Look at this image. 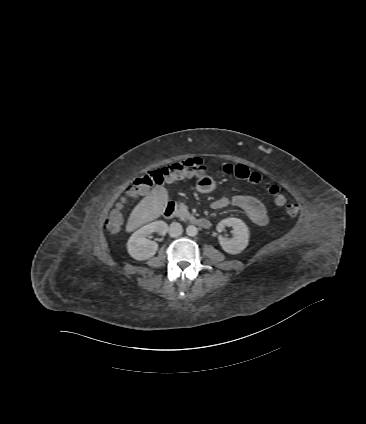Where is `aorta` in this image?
<instances>
[{"instance_id": "obj_1", "label": "aorta", "mask_w": 366, "mask_h": 424, "mask_svg": "<svg viewBox=\"0 0 366 424\" xmlns=\"http://www.w3.org/2000/svg\"><path fill=\"white\" fill-rule=\"evenodd\" d=\"M186 234L188 236H196L198 234V228L194 225H188L186 228Z\"/></svg>"}]
</instances>
